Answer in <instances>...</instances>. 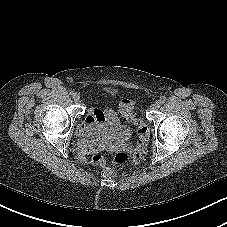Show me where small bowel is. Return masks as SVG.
I'll use <instances>...</instances> for the list:
<instances>
[{
	"label": "small bowel",
	"mask_w": 227,
	"mask_h": 227,
	"mask_svg": "<svg viewBox=\"0 0 227 227\" xmlns=\"http://www.w3.org/2000/svg\"><path fill=\"white\" fill-rule=\"evenodd\" d=\"M116 120V113L112 109L105 110L100 106L90 109L76 131L80 148L85 153L98 151L105 139L107 128Z\"/></svg>",
	"instance_id": "small-bowel-1"
}]
</instances>
